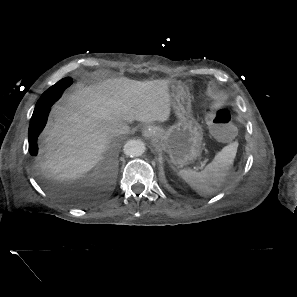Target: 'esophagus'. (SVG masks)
<instances>
[{"instance_id":"esophagus-1","label":"esophagus","mask_w":297,"mask_h":297,"mask_svg":"<svg viewBox=\"0 0 297 297\" xmlns=\"http://www.w3.org/2000/svg\"><path fill=\"white\" fill-rule=\"evenodd\" d=\"M157 134V130L156 128L154 127H151V126H145L143 129H142V135L145 137V138H151L153 136H155Z\"/></svg>"}]
</instances>
